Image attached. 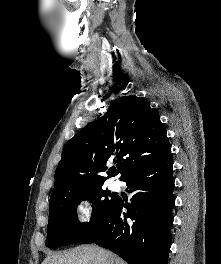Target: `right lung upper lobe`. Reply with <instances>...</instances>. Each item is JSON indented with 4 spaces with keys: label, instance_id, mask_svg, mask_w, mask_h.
<instances>
[{
    "label": "right lung upper lobe",
    "instance_id": "cb5924a9",
    "mask_svg": "<svg viewBox=\"0 0 221 264\" xmlns=\"http://www.w3.org/2000/svg\"><path fill=\"white\" fill-rule=\"evenodd\" d=\"M170 153L159 114L143 98L120 97L110 104L104 116L66 143L50 208L68 195L103 186L109 177L119 174L122 181ZM112 163L117 164V169L108 168Z\"/></svg>",
    "mask_w": 221,
    "mask_h": 264
}]
</instances>
